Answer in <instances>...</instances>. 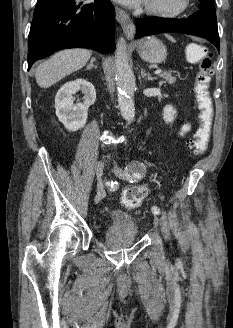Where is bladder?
<instances>
[{"label":"bladder","instance_id":"bladder-1","mask_svg":"<svg viewBox=\"0 0 233 328\" xmlns=\"http://www.w3.org/2000/svg\"><path fill=\"white\" fill-rule=\"evenodd\" d=\"M111 228L130 235L131 240L137 237L136 218L122 210H115L110 214Z\"/></svg>","mask_w":233,"mask_h":328}]
</instances>
